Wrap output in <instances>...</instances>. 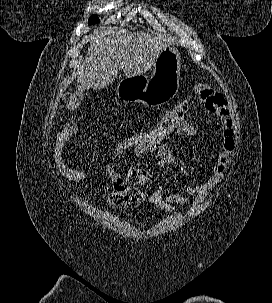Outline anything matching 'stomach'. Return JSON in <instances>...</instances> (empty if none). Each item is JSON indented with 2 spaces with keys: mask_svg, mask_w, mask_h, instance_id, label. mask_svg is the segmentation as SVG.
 Returning a JSON list of instances; mask_svg holds the SVG:
<instances>
[{
  "mask_svg": "<svg viewBox=\"0 0 272 303\" xmlns=\"http://www.w3.org/2000/svg\"><path fill=\"white\" fill-rule=\"evenodd\" d=\"M181 62L177 49L164 48L153 65L151 77L125 78L118 83L117 94L123 100L155 106L176 95Z\"/></svg>",
  "mask_w": 272,
  "mask_h": 303,
  "instance_id": "1",
  "label": "stomach"
}]
</instances>
